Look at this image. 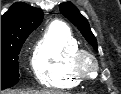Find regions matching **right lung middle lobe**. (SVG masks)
<instances>
[{"mask_svg": "<svg viewBox=\"0 0 121 94\" xmlns=\"http://www.w3.org/2000/svg\"><path fill=\"white\" fill-rule=\"evenodd\" d=\"M30 33L1 41V89L12 87L19 81L18 54Z\"/></svg>", "mask_w": 121, "mask_h": 94, "instance_id": "1", "label": "right lung middle lobe"}]
</instances>
